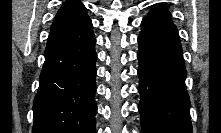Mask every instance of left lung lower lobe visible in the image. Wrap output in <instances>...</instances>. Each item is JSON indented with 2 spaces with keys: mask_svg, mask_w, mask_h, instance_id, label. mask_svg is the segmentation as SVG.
<instances>
[{
  "mask_svg": "<svg viewBox=\"0 0 221 133\" xmlns=\"http://www.w3.org/2000/svg\"><path fill=\"white\" fill-rule=\"evenodd\" d=\"M138 43L143 133H192L187 73L176 26L171 21L144 18Z\"/></svg>",
  "mask_w": 221,
  "mask_h": 133,
  "instance_id": "left-lung-lower-lobe-1",
  "label": "left lung lower lobe"
}]
</instances>
